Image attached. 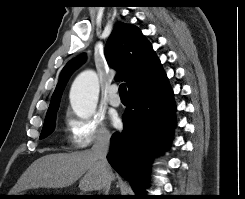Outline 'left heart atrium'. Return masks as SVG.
<instances>
[{
	"label": "left heart atrium",
	"mask_w": 245,
	"mask_h": 199,
	"mask_svg": "<svg viewBox=\"0 0 245 199\" xmlns=\"http://www.w3.org/2000/svg\"><path fill=\"white\" fill-rule=\"evenodd\" d=\"M112 122H113L114 125H117L119 120H118V118L116 116H114V117H112Z\"/></svg>",
	"instance_id": "39dd6f15"
}]
</instances>
